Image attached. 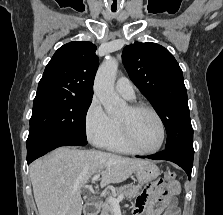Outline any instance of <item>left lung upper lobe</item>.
Wrapping results in <instances>:
<instances>
[{"label":"left lung upper lobe","instance_id":"left-lung-upper-lobe-1","mask_svg":"<svg viewBox=\"0 0 223 215\" xmlns=\"http://www.w3.org/2000/svg\"><path fill=\"white\" fill-rule=\"evenodd\" d=\"M130 79L152 104L167 131L166 149L193 150L187 90L173 55L152 42H135L122 53Z\"/></svg>","mask_w":223,"mask_h":215}]
</instances>
